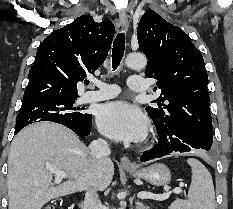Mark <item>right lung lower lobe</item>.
I'll return each instance as SVG.
<instances>
[{
	"label": "right lung lower lobe",
	"mask_w": 233,
	"mask_h": 209,
	"mask_svg": "<svg viewBox=\"0 0 233 209\" xmlns=\"http://www.w3.org/2000/svg\"><path fill=\"white\" fill-rule=\"evenodd\" d=\"M91 125H92V115L81 124L78 125H65L72 131H74L79 137H85L90 134L91 132ZM22 128L24 127H16L14 134L16 135Z\"/></svg>",
	"instance_id": "1"
}]
</instances>
